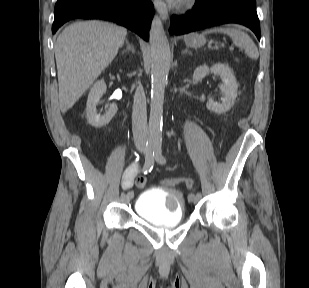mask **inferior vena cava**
<instances>
[{"instance_id": "602c4592", "label": "inferior vena cava", "mask_w": 309, "mask_h": 288, "mask_svg": "<svg viewBox=\"0 0 309 288\" xmlns=\"http://www.w3.org/2000/svg\"><path fill=\"white\" fill-rule=\"evenodd\" d=\"M132 131L133 138L136 145L144 146L147 142L148 127H147V112H146V98L143 87H137L132 111Z\"/></svg>"}]
</instances>
